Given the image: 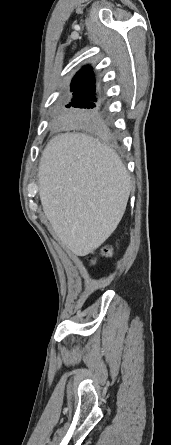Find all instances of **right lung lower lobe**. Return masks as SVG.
I'll return each mask as SVG.
<instances>
[{"mask_svg": "<svg viewBox=\"0 0 171 445\" xmlns=\"http://www.w3.org/2000/svg\"><path fill=\"white\" fill-rule=\"evenodd\" d=\"M103 127H104V126H103ZM104 128H105V127H104ZM104 130H105V132H107V131H108V130H107L106 128H105Z\"/></svg>", "mask_w": 171, "mask_h": 445, "instance_id": "right-lung-lower-lobe-1", "label": "right lung lower lobe"}]
</instances>
